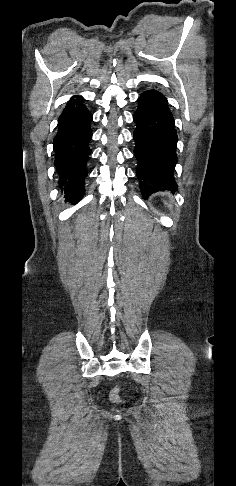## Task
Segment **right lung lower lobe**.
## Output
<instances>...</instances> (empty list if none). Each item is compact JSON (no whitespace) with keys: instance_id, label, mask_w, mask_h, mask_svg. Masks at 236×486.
Returning a JSON list of instances; mask_svg holds the SVG:
<instances>
[{"instance_id":"right-lung-lower-lobe-1","label":"right lung lower lobe","mask_w":236,"mask_h":486,"mask_svg":"<svg viewBox=\"0 0 236 486\" xmlns=\"http://www.w3.org/2000/svg\"><path fill=\"white\" fill-rule=\"evenodd\" d=\"M58 119V132L54 138V165L59 185L68 201H78L84 195L86 161L90 155L88 146L92 131V114L84 106L81 96H74Z\"/></svg>"}]
</instances>
